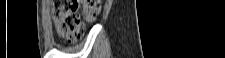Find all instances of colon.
<instances>
[{"instance_id":"obj_1","label":"colon","mask_w":225,"mask_h":58,"mask_svg":"<svg viewBox=\"0 0 225 58\" xmlns=\"http://www.w3.org/2000/svg\"><path fill=\"white\" fill-rule=\"evenodd\" d=\"M53 10L57 33L65 39L74 41L83 30L81 10L87 20H92L100 12V2L96 0H55Z\"/></svg>"}]
</instances>
